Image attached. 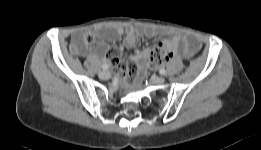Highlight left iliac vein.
<instances>
[{"mask_svg":"<svg viewBox=\"0 0 261 150\" xmlns=\"http://www.w3.org/2000/svg\"><path fill=\"white\" fill-rule=\"evenodd\" d=\"M152 82L155 84H163L165 82V78L162 76L155 77L152 79Z\"/></svg>","mask_w":261,"mask_h":150,"instance_id":"1","label":"left iliac vein"}]
</instances>
